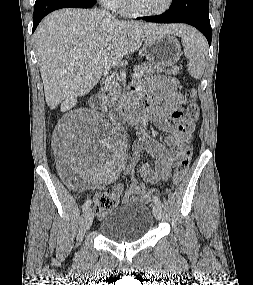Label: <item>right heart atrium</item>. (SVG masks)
I'll return each mask as SVG.
<instances>
[{
    "label": "right heart atrium",
    "mask_w": 253,
    "mask_h": 285,
    "mask_svg": "<svg viewBox=\"0 0 253 285\" xmlns=\"http://www.w3.org/2000/svg\"><path fill=\"white\" fill-rule=\"evenodd\" d=\"M99 1L106 8L111 9V10H119L124 3V0H99Z\"/></svg>",
    "instance_id": "1"
}]
</instances>
